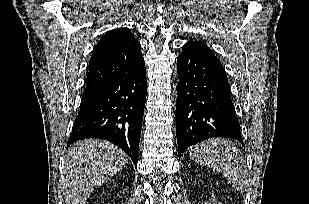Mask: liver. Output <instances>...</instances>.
Wrapping results in <instances>:
<instances>
[{
	"label": "liver",
	"mask_w": 309,
	"mask_h": 204,
	"mask_svg": "<svg viewBox=\"0 0 309 204\" xmlns=\"http://www.w3.org/2000/svg\"><path fill=\"white\" fill-rule=\"evenodd\" d=\"M127 163L126 154L108 141L85 139L71 145L61 179L66 204H85L95 188Z\"/></svg>",
	"instance_id": "1"
}]
</instances>
